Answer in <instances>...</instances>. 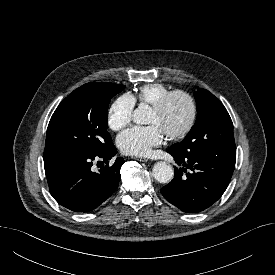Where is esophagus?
I'll use <instances>...</instances> for the list:
<instances>
[{"label":"esophagus","mask_w":275,"mask_h":275,"mask_svg":"<svg viewBox=\"0 0 275 275\" xmlns=\"http://www.w3.org/2000/svg\"><path fill=\"white\" fill-rule=\"evenodd\" d=\"M135 159L138 161H142V162L148 161V158H146V157H135Z\"/></svg>","instance_id":"obj_1"}]
</instances>
